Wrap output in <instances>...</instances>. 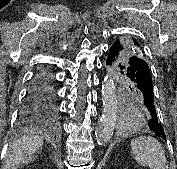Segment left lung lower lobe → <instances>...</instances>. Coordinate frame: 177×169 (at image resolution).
Masks as SVG:
<instances>
[{
	"instance_id": "1",
	"label": "left lung lower lobe",
	"mask_w": 177,
	"mask_h": 169,
	"mask_svg": "<svg viewBox=\"0 0 177 169\" xmlns=\"http://www.w3.org/2000/svg\"><path fill=\"white\" fill-rule=\"evenodd\" d=\"M123 47L114 42L109 48L106 64L116 71L122 78L128 80L133 89H136L143 98L144 105L151 115L149 129L157 136L166 140L164 129L160 124L154 103L153 83L150 69L145 60L137 56H130L124 61L117 62ZM130 87V86H129ZM130 87V90L132 89Z\"/></svg>"
}]
</instances>
